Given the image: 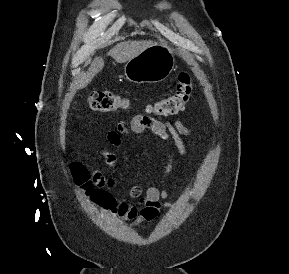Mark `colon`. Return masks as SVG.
Returning <instances> with one entry per match:
<instances>
[{"label": "colon", "mask_w": 289, "mask_h": 274, "mask_svg": "<svg viewBox=\"0 0 289 274\" xmlns=\"http://www.w3.org/2000/svg\"><path fill=\"white\" fill-rule=\"evenodd\" d=\"M192 92L193 81L191 75L187 71H182L179 74L175 91L170 96L155 102L149 110L157 116L175 115L185 108L190 101ZM87 104L93 111L110 112L126 108L128 100L108 90H96L88 95ZM72 171L76 181L91 194L96 202L107 206L113 205V199L107 192L100 189L93 190L92 179L84 166L74 163Z\"/></svg>", "instance_id": "colon-1"}]
</instances>
